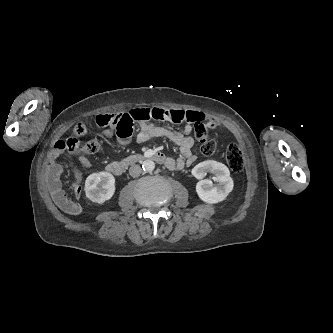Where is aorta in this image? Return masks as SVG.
<instances>
[{
  "label": "aorta",
  "instance_id": "obj_1",
  "mask_svg": "<svg viewBox=\"0 0 333 333\" xmlns=\"http://www.w3.org/2000/svg\"><path fill=\"white\" fill-rule=\"evenodd\" d=\"M142 168L145 172H152L155 168V163L152 160H145L142 164Z\"/></svg>",
  "mask_w": 333,
  "mask_h": 333
}]
</instances>
